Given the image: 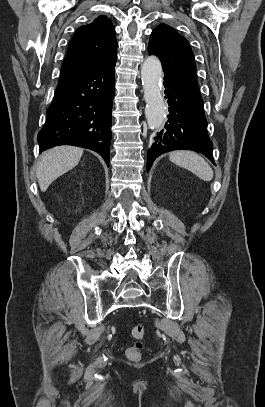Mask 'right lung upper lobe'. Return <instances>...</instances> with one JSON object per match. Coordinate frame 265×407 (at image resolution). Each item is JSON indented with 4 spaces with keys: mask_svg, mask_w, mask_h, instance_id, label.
Segmentation results:
<instances>
[{
    "mask_svg": "<svg viewBox=\"0 0 265 407\" xmlns=\"http://www.w3.org/2000/svg\"><path fill=\"white\" fill-rule=\"evenodd\" d=\"M115 28L110 19L99 16L77 29L69 42L59 83L74 79L117 56Z\"/></svg>",
    "mask_w": 265,
    "mask_h": 407,
    "instance_id": "right-lung-upper-lobe-1",
    "label": "right lung upper lobe"
}]
</instances>
